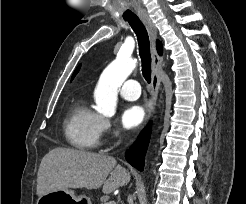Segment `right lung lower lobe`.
I'll return each mask as SVG.
<instances>
[{
	"instance_id": "right-lung-lower-lobe-1",
	"label": "right lung lower lobe",
	"mask_w": 246,
	"mask_h": 204,
	"mask_svg": "<svg viewBox=\"0 0 246 204\" xmlns=\"http://www.w3.org/2000/svg\"><path fill=\"white\" fill-rule=\"evenodd\" d=\"M150 127H147L140 135L137 142L128 150L126 160L136 169L144 168L145 153L149 143Z\"/></svg>"
}]
</instances>
